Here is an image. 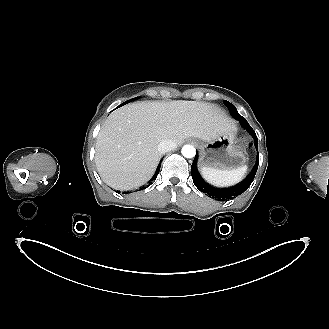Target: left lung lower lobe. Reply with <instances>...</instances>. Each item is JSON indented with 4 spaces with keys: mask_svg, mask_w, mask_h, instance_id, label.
I'll use <instances>...</instances> for the list:
<instances>
[{
    "mask_svg": "<svg viewBox=\"0 0 329 329\" xmlns=\"http://www.w3.org/2000/svg\"><path fill=\"white\" fill-rule=\"evenodd\" d=\"M240 123L250 133V135L253 138L254 146L258 148V139L252 127L248 124L246 119H241ZM197 159L198 156L196 154L191 166V175L193 182L201 192L205 193L207 196L216 199L218 201L233 199L238 195H241L243 192H245L248 189V187L251 185L259 165V156H258L256 160V164L253 167L251 173L241 183L230 188H216L208 184L199 174L197 170Z\"/></svg>",
    "mask_w": 329,
    "mask_h": 329,
    "instance_id": "0a47b994",
    "label": "left lung lower lobe"
}]
</instances>
